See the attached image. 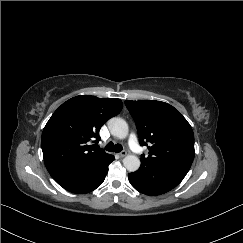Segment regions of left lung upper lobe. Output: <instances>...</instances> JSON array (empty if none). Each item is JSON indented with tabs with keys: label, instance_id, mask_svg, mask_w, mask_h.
I'll list each match as a JSON object with an SVG mask.
<instances>
[{
	"label": "left lung upper lobe",
	"instance_id": "left-lung-upper-lobe-1",
	"mask_svg": "<svg viewBox=\"0 0 243 243\" xmlns=\"http://www.w3.org/2000/svg\"><path fill=\"white\" fill-rule=\"evenodd\" d=\"M125 105L136 123L140 145L149 149V156L141 157V167L174 161L193 162L192 128L173 106L153 100H126Z\"/></svg>",
	"mask_w": 243,
	"mask_h": 243
}]
</instances>
